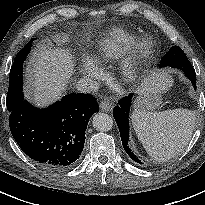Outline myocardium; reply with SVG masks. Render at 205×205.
Listing matches in <instances>:
<instances>
[{"label":"myocardium","instance_id":"obj_1","mask_svg":"<svg viewBox=\"0 0 205 205\" xmlns=\"http://www.w3.org/2000/svg\"><path fill=\"white\" fill-rule=\"evenodd\" d=\"M149 46L148 38L140 39L136 44L137 52H146ZM122 74L126 80H134L138 76V67L134 60L125 58L121 60Z\"/></svg>","mask_w":205,"mask_h":205}]
</instances>
